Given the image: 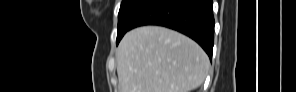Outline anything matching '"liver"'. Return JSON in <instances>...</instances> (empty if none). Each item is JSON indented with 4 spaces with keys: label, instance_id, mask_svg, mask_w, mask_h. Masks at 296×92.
Segmentation results:
<instances>
[{
    "label": "liver",
    "instance_id": "obj_1",
    "mask_svg": "<svg viewBox=\"0 0 296 92\" xmlns=\"http://www.w3.org/2000/svg\"><path fill=\"white\" fill-rule=\"evenodd\" d=\"M116 59L120 92H190L203 84L210 67L195 41L159 26L126 33Z\"/></svg>",
    "mask_w": 296,
    "mask_h": 92
}]
</instances>
